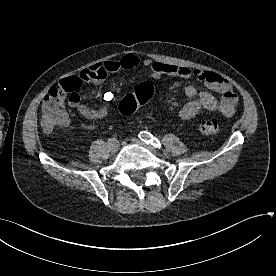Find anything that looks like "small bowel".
Wrapping results in <instances>:
<instances>
[{
    "mask_svg": "<svg viewBox=\"0 0 276 276\" xmlns=\"http://www.w3.org/2000/svg\"><path fill=\"white\" fill-rule=\"evenodd\" d=\"M142 65L151 72L154 79L167 75L183 79L194 78L203 82L207 88L219 94L218 97L206 91H199L195 86L187 84L183 87L184 94L190 98L180 110L179 117L189 120L195 117L201 110L211 113H219L223 116H232L238 103V97L232 85L221 75L200 69H190L184 66H177L169 63L154 62L149 58L141 60L135 54L129 53L120 59L106 60L96 63L82 70L78 75L70 78L81 80L82 84L100 85L107 76L120 70H130ZM112 92L100 94L101 104L97 107H90L81 103L80 95L76 92L68 98L70 107L75 108L84 118L88 120H100L109 114V103L113 100ZM48 95L45 96L42 109L48 107ZM63 105V103H62Z\"/></svg>",
    "mask_w": 276,
    "mask_h": 276,
    "instance_id": "obj_1",
    "label": "small bowel"
}]
</instances>
